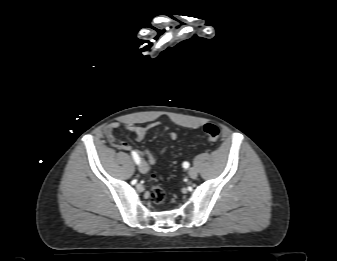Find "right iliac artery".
Returning a JSON list of instances; mask_svg holds the SVG:
<instances>
[{
    "label": "right iliac artery",
    "mask_w": 337,
    "mask_h": 261,
    "mask_svg": "<svg viewBox=\"0 0 337 261\" xmlns=\"http://www.w3.org/2000/svg\"><path fill=\"white\" fill-rule=\"evenodd\" d=\"M131 155H132L134 161H135L137 164H139V163H140V157H139V155H138L136 152H134V151L131 152Z\"/></svg>",
    "instance_id": "82829eb1"
}]
</instances>
